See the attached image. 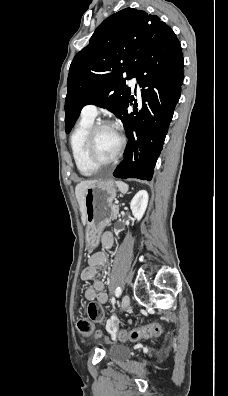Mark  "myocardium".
Returning a JSON list of instances; mask_svg holds the SVG:
<instances>
[{
  "label": "myocardium",
  "mask_w": 228,
  "mask_h": 396,
  "mask_svg": "<svg viewBox=\"0 0 228 396\" xmlns=\"http://www.w3.org/2000/svg\"><path fill=\"white\" fill-rule=\"evenodd\" d=\"M103 127H112L116 131V133L119 136V146H118L116 153L110 160H108L106 162H99L94 157L93 149H94L95 136H96L97 132ZM124 147H125V137L119 131V129L113 123L106 121V120H101V121L94 123L92 125V127L90 128L87 138H86V141H85L84 152H85V156H86L88 163L92 167L99 169V168L110 166V165L114 164L122 155Z\"/></svg>",
  "instance_id": "f54148a6"
}]
</instances>
